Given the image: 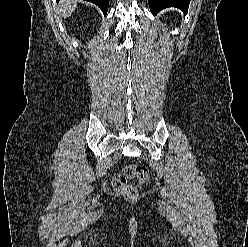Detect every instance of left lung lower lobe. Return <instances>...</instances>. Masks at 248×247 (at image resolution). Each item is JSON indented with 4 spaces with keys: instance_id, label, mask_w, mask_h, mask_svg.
<instances>
[{
    "instance_id": "1",
    "label": "left lung lower lobe",
    "mask_w": 248,
    "mask_h": 247,
    "mask_svg": "<svg viewBox=\"0 0 248 247\" xmlns=\"http://www.w3.org/2000/svg\"><path fill=\"white\" fill-rule=\"evenodd\" d=\"M150 10L153 14L158 13L162 9L167 7H177L182 11L186 12L188 10V6L190 0H148Z\"/></svg>"
}]
</instances>
